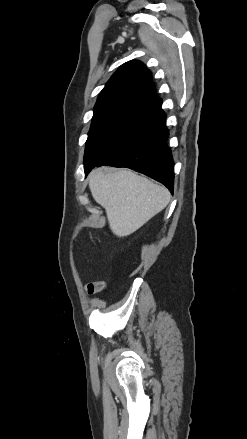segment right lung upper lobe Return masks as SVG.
<instances>
[{
	"mask_svg": "<svg viewBox=\"0 0 247 439\" xmlns=\"http://www.w3.org/2000/svg\"><path fill=\"white\" fill-rule=\"evenodd\" d=\"M107 104H124L156 114L161 110L162 100L155 92L151 72L140 61H130L113 74L95 107Z\"/></svg>",
	"mask_w": 247,
	"mask_h": 439,
	"instance_id": "1",
	"label": "right lung upper lobe"
}]
</instances>
